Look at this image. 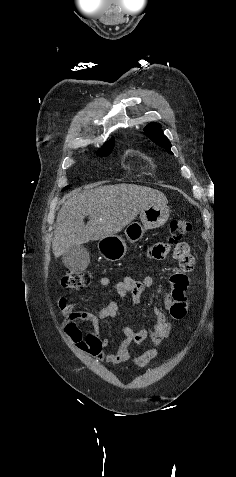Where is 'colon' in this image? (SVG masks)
Here are the masks:
<instances>
[{
	"mask_svg": "<svg viewBox=\"0 0 236 477\" xmlns=\"http://www.w3.org/2000/svg\"><path fill=\"white\" fill-rule=\"evenodd\" d=\"M192 229L193 226L189 221L184 219H173L170 222L168 243H178L179 240L190 234ZM188 251L189 248L180 246V243H178L174 249V255L175 257L180 258L181 256L186 255ZM61 285L67 289H83L87 285V278L80 272L69 271L62 276Z\"/></svg>",
	"mask_w": 236,
	"mask_h": 477,
	"instance_id": "obj_1",
	"label": "colon"
}]
</instances>
